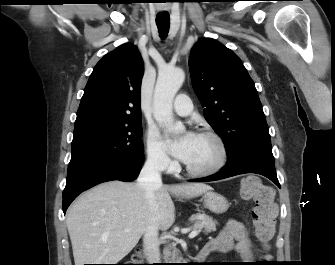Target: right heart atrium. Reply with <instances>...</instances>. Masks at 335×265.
Masks as SVG:
<instances>
[{
	"label": "right heart atrium",
	"instance_id": "d8ad5b80",
	"mask_svg": "<svg viewBox=\"0 0 335 265\" xmlns=\"http://www.w3.org/2000/svg\"><path fill=\"white\" fill-rule=\"evenodd\" d=\"M145 151L146 160L151 167L159 171H167L172 168L173 162L166 152L159 133L153 128H150L146 133Z\"/></svg>",
	"mask_w": 335,
	"mask_h": 265
}]
</instances>
